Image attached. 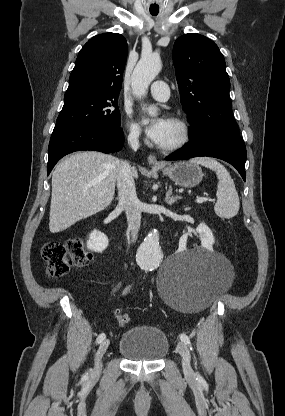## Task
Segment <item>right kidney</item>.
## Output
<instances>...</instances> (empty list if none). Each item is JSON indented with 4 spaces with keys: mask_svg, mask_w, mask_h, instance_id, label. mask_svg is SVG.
<instances>
[{
    "mask_svg": "<svg viewBox=\"0 0 285 416\" xmlns=\"http://www.w3.org/2000/svg\"><path fill=\"white\" fill-rule=\"evenodd\" d=\"M108 244L109 240L103 232L93 230V232L89 234V238L87 240L88 250H92V252H103V250H106Z\"/></svg>",
    "mask_w": 285,
    "mask_h": 416,
    "instance_id": "obj_1",
    "label": "right kidney"
}]
</instances>
